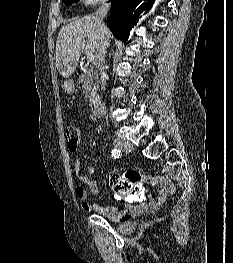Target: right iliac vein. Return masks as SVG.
<instances>
[{"instance_id": "63e3f726", "label": "right iliac vein", "mask_w": 233, "mask_h": 263, "mask_svg": "<svg viewBox=\"0 0 233 263\" xmlns=\"http://www.w3.org/2000/svg\"><path fill=\"white\" fill-rule=\"evenodd\" d=\"M114 145L116 148H118L121 151L124 152H130L133 149V146L130 142L125 141V140H119V139H115L113 141Z\"/></svg>"}]
</instances>
